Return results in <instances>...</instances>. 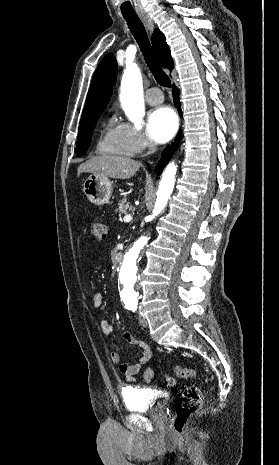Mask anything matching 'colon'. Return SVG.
<instances>
[{"label": "colon", "instance_id": "1", "mask_svg": "<svg viewBox=\"0 0 279 465\" xmlns=\"http://www.w3.org/2000/svg\"><path fill=\"white\" fill-rule=\"evenodd\" d=\"M91 233L98 240L102 241L106 238L107 226L102 221H94L91 225ZM174 374L183 379H191L196 375V371L192 367H184L176 365ZM164 383L172 387L176 380L172 375H165ZM202 404V392L198 386L191 385L186 387L175 403V417L173 420V428L177 433H182L189 417L195 413Z\"/></svg>", "mask_w": 279, "mask_h": 465}]
</instances>
